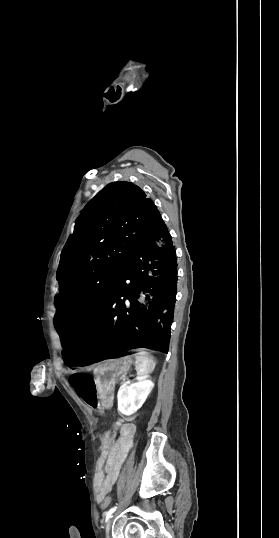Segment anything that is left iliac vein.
Here are the masks:
<instances>
[{
	"mask_svg": "<svg viewBox=\"0 0 279 538\" xmlns=\"http://www.w3.org/2000/svg\"><path fill=\"white\" fill-rule=\"evenodd\" d=\"M111 520H109L106 523L105 532H106V538H109V530H110Z\"/></svg>",
	"mask_w": 279,
	"mask_h": 538,
	"instance_id": "left-iliac-vein-1",
	"label": "left iliac vein"
}]
</instances>
